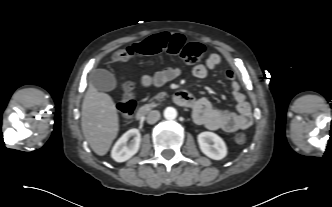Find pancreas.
<instances>
[{"instance_id":"pancreas-1","label":"pancreas","mask_w":332,"mask_h":207,"mask_svg":"<svg viewBox=\"0 0 332 207\" xmlns=\"http://www.w3.org/2000/svg\"><path fill=\"white\" fill-rule=\"evenodd\" d=\"M166 95V92H160L157 95H155L152 99H151V103L150 106L151 107H155L157 104L155 103V100H159L162 99L164 96Z\"/></svg>"}]
</instances>
